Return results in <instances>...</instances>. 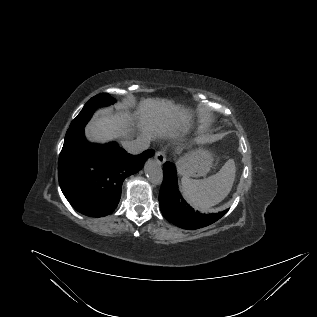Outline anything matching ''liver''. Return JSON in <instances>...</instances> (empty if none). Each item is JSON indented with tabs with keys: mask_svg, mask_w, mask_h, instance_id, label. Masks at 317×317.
Returning <instances> with one entry per match:
<instances>
[{
	"mask_svg": "<svg viewBox=\"0 0 317 317\" xmlns=\"http://www.w3.org/2000/svg\"><path fill=\"white\" fill-rule=\"evenodd\" d=\"M190 122L189 110L172 100L146 98L139 102L133 113L127 108L97 113L86 126L85 133L90 141L97 143L138 134L150 140L173 135L176 131H187Z\"/></svg>",
	"mask_w": 317,
	"mask_h": 317,
	"instance_id": "6515ba94",
	"label": "liver"
}]
</instances>
